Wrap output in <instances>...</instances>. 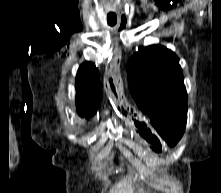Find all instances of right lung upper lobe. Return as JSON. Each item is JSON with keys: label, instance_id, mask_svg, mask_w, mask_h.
<instances>
[{"label": "right lung upper lobe", "instance_id": "right-lung-upper-lobe-1", "mask_svg": "<svg viewBox=\"0 0 221 193\" xmlns=\"http://www.w3.org/2000/svg\"><path fill=\"white\" fill-rule=\"evenodd\" d=\"M75 85L77 113L89 118L97 112L102 99V85L93 63L85 62L79 67Z\"/></svg>", "mask_w": 221, "mask_h": 193}]
</instances>
